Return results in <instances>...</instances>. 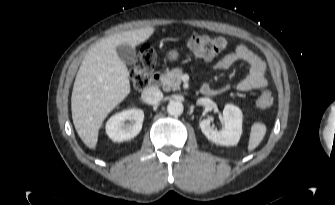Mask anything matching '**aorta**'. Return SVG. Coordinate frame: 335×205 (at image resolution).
Masks as SVG:
<instances>
[{"instance_id":"aorta-1","label":"aorta","mask_w":335,"mask_h":205,"mask_svg":"<svg viewBox=\"0 0 335 205\" xmlns=\"http://www.w3.org/2000/svg\"><path fill=\"white\" fill-rule=\"evenodd\" d=\"M183 104L180 101L172 100L167 105V112L173 116H179L183 113Z\"/></svg>"}]
</instances>
